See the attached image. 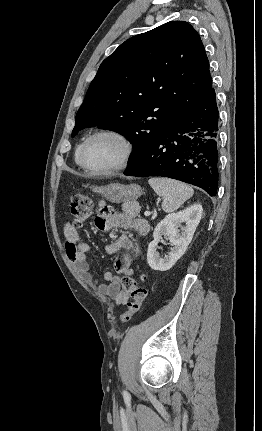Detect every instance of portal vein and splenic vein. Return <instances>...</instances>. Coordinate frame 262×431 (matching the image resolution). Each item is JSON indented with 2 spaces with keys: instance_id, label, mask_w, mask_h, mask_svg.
I'll list each match as a JSON object with an SVG mask.
<instances>
[{
  "instance_id": "1",
  "label": "portal vein and splenic vein",
  "mask_w": 262,
  "mask_h": 431,
  "mask_svg": "<svg viewBox=\"0 0 262 431\" xmlns=\"http://www.w3.org/2000/svg\"><path fill=\"white\" fill-rule=\"evenodd\" d=\"M150 214H151V212H150V211H145V212H144V215H145V216H150Z\"/></svg>"
}]
</instances>
